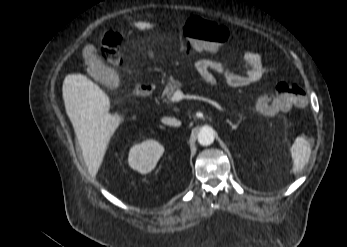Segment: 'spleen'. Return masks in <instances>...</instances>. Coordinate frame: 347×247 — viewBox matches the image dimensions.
Instances as JSON below:
<instances>
[{
    "label": "spleen",
    "mask_w": 347,
    "mask_h": 247,
    "mask_svg": "<svg viewBox=\"0 0 347 247\" xmlns=\"http://www.w3.org/2000/svg\"><path fill=\"white\" fill-rule=\"evenodd\" d=\"M290 152L294 161L293 169L295 172H298L300 169H302L310 157V144L305 138L298 137L291 147Z\"/></svg>",
    "instance_id": "3e777b00"
}]
</instances>
